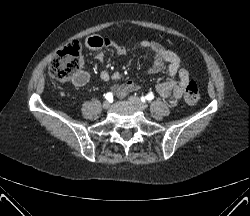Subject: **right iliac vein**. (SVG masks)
Returning <instances> with one entry per match:
<instances>
[{
    "mask_svg": "<svg viewBox=\"0 0 250 216\" xmlns=\"http://www.w3.org/2000/svg\"><path fill=\"white\" fill-rule=\"evenodd\" d=\"M102 106H103L104 109H108L110 107V102L109 101H104Z\"/></svg>",
    "mask_w": 250,
    "mask_h": 216,
    "instance_id": "63e3f726",
    "label": "right iliac vein"
}]
</instances>
